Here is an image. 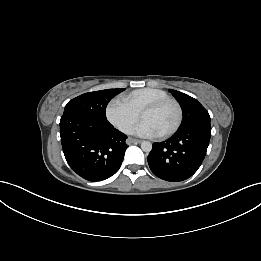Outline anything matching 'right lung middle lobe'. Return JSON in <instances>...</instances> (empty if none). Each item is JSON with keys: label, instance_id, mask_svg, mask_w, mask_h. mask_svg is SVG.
I'll list each match as a JSON object with an SVG mask.
<instances>
[{"label": "right lung middle lobe", "instance_id": "right-lung-middle-lobe-1", "mask_svg": "<svg viewBox=\"0 0 261 261\" xmlns=\"http://www.w3.org/2000/svg\"><path fill=\"white\" fill-rule=\"evenodd\" d=\"M124 89H106L82 94L70 100L64 114H78L89 118L106 120V106L116 94Z\"/></svg>", "mask_w": 261, "mask_h": 261}]
</instances>
